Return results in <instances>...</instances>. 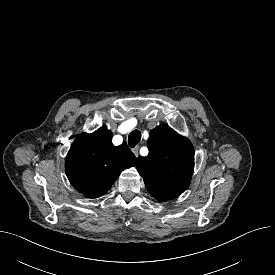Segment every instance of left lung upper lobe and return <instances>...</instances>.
<instances>
[{"instance_id": "left-lung-upper-lobe-1", "label": "left lung upper lobe", "mask_w": 275, "mask_h": 275, "mask_svg": "<svg viewBox=\"0 0 275 275\" xmlns=\"http://www.w3.org/2000/svg\"><path fill=\"white\" fill-rule=\"evenodd\" d=\"M149 154L139 156L137 170L148 192L159 201L178 197L189 186L194 170L191 142L167 125L150 131Z\"/></svg>"}]
</instances>
